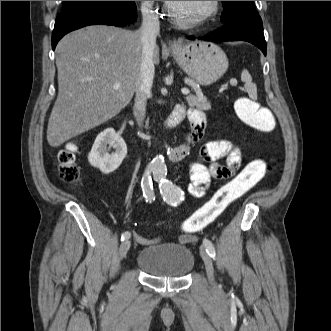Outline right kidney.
<instances>
[{
	"instance_id": "obj_1",
	"label": "right kidney",
	"mask_w": 331,
	"mask_h": 331,
	"mask_svg": "<svg viewBox=\"0 0 331 331\" xmlns=\"http://www.w3.org/2000/svg\"><path fill=\"white\" fill-rule=\"evenodd\" d=\"M109 147L114 151L109 153ZM127 154V146L113 128H107L96 137L88 155V161L104 174L115 171Z\"/></svg>"
}]
</instances>
